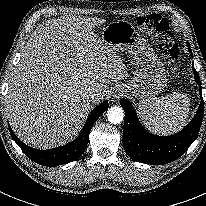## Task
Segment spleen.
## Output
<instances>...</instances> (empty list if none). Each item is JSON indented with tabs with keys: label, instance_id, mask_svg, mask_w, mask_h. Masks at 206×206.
<instances>
[{
	"label": "spleen",
	"instance_id": "1",
	"mask_svg": "<svg viewBox=\"0 0 206 206\" xmlns=\"http://www.w3.org/2000/svg\"><path fill=\"white\" fill-rule=\"evenodd\" d=\"M190 100L186 94H172L143 100L139 114L143 124L157 134H171L180 130L187 122Z\"/></svg>",
	"mask_w": 206,
	"mask_h": 206
}]
</instances>
